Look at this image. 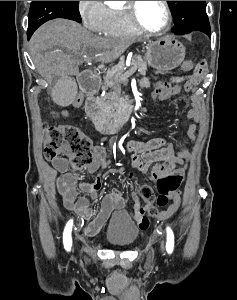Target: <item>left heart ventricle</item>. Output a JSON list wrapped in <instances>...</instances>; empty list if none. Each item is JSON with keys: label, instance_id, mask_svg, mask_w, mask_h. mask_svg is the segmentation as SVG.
<instances>
[{"label": "left heart ventricle", "instance_id": "left-heart-ventricle-1", "mask_svg": "<svg viewBox=\"0 0 237 300\" xmlns=\"http://www.w3.org/2000/svg\"><path fill=\"white\" fill-rule=\"evenodd\" d=\"M138 16L141 23L150 30H161L166 22L162 1H139Z\"/></svg>", "mask_w": 237, "mask_h": 300}]
</instances>
